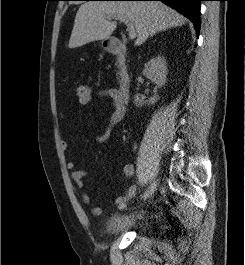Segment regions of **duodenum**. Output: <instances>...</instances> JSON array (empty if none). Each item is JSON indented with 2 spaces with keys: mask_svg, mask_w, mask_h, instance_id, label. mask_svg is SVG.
I'll use <instances>...</instances> for the list:
<instances>
[{
  "mask_svg": "<svg viewBox=\"0 0 245 265\" xmlns=\"http://www.w3.org/2000/svg\"><path fill=\"white\" fill-rule=\"evenodd\" d=\"M108 52L115 55L118 59L121 73L118 82V90L124 100H128L131 90V82L129 75L126 70L125 60H126V48L122 41L118 39H112L107 45Z\"/></svg>",
  "mask_w": 245,
  "mask_h": 265,
  "instance_id": "410a0bca",
  "label": "duodenum"
}]
</instances>
